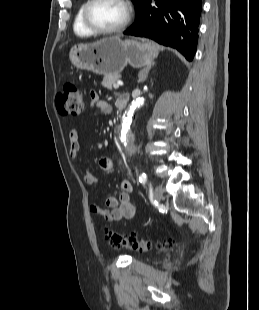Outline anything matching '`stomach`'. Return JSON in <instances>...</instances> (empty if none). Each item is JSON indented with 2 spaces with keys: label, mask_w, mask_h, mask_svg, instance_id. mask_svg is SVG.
<instances>
[{
  "label": "stomach",
  "mask_w": 259,
  "mask_h": 310,
  "mask_svg": "<svg viewBox=\"0 0 259 310\" xmlns=\"http://www.w3.org/2000/svg\"><path fill=\"white\" fill-rule=\"evenodd\" d=\"M157 56L158 48L154 43L122 41L119 37L78 44L69 53L70 61L78 69L103 75H119L127 64L134 68L149 66Z\"/></svg>",
  "instance_id": "1"
}]
</instances>
